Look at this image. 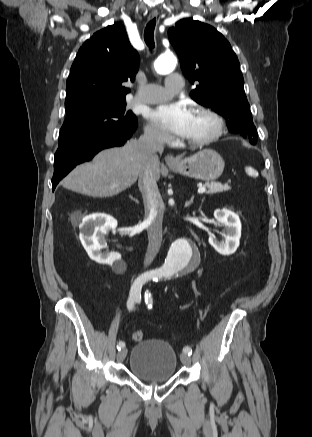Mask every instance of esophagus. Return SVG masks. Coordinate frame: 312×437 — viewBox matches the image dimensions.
Returning a JSON list of instances; mask_svg holds the SVG:
<instances>
[{
    "label": "esophagus",
    "instance_id": "obj_1",
    "mask_svg": "<svg viewBox=\"0 0 312 437\" xmlns=\"http://www.w3.org/2000/svg\"><path fill=\"white\" fill-rule=\"evenodd\" d=\"M156 17H157V12L154 11V12H151V13L149 14L148 19H149V20H152V19H154V18H156ZM165 162H166V164H168V165L176 164V163L178 162V159H177L176 157H174L172 154H167V155L165 156Z\"/></svg>",
    "mask_w": 312,
    "mask_h": 437
}]
</instances>
